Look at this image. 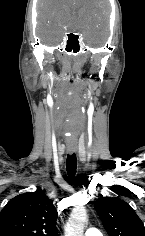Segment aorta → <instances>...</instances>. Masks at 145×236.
I'll return each mask as SVG.
<instances>
[{
	"label": "aorta",
	"mask_w": 145,
	"mask_h": 236,
	"mask_svg": "<svg viewBox=\"0 0 145 236\" xmlns=\"http://www.w3.org/2000/svg\"><path fill=\"white\" fill-rule=\"evenodd\" d=\"M86 221V208L83 205L74 207L67 223L65 236H83Z\"/></svg>",
	"instance_id": "1"
}]
</instances>
